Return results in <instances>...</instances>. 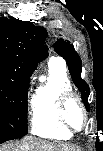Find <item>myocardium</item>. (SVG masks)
<instances>
[{
  "label": "myocardium",
  "instance_id": "f54148a6",
  "mask_svg": "<svg viewBox=\"0 0 103 151\" xmlns=\"http://www.w3.org/2000/svg\"><path fill=\"white\" fill-rule=\"evenodd\" d=\"M71 101H75L83 113V124L81 127L74 126L68 119L67 107ZM57 119L60 124L70 132H79L85 129L88 122V112L81 98L73 91H67L61 94L57 104Z\"/></svg>",
  "mask_w": 103,
  "mask_h": 151
}]
</instances>
